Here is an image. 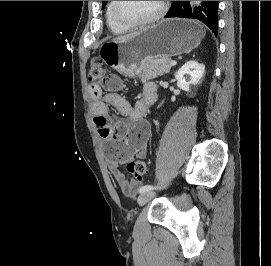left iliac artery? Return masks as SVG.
<instances>
[{"label":"left iliac artery","instance_id":"1","mask_svg":"<svg viewBox=\"0 0 271 266\" xmlns=\"http://www.w3.org/2000/svg\"><path fill=\"white\" fill-rule=\"evenodd\" d=\"M155 189L154 186L152 185H145V186H142L140 189H139V193H144V192H149L151 190Z\"/></svg>","mask_w":271,"mask_h":266}]
</instances>
